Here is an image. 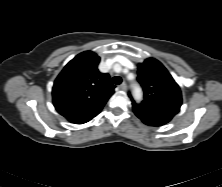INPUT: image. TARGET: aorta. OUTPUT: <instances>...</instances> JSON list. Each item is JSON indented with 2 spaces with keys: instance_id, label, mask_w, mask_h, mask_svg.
Returning a JSON list of instances; mask_svg holds the SVG:
<instances>
[{
  "instance_id": "aorta-1",
  "label": "aorta",
  "mask_w": 222,
  "mask_h": 187,
  "mask_svg": "<svg viewBox=\"0 0 222 187\" xmlns=\"http://www.w3.org/2000/svg\"><path fill=\"white\" fill-rule=\"evenodd\" d=\"M133 96L137 101H140L142 99V91H141V88L139 86H134Z\"/></svg>"
}]
</instances>
